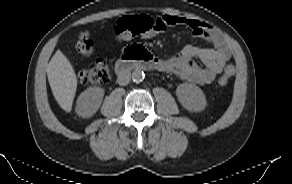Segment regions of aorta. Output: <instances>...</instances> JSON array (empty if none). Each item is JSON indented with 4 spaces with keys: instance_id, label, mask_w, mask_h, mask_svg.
<instances>
[{
    "instance_id": "762f6f07",
    "label": "aorta",
    "mask_w": 292,
    "mask_h": 184,
    "mask_svg": "<svg viewBox=\"0 0 292 184\" xmlns=\"http://www.w3.org/2000/svg\"><path fill=\"white\" fill-rule=\"evenodd\" d=\"M132 80L136 83H140L144 80L145 74L143 71L136 69L132 72Z\"/></svg>"
}]
</instances>
